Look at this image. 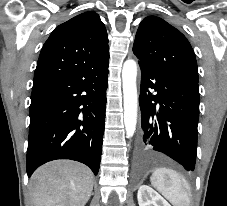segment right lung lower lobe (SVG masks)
Returning a JSON list of instances; mask_svg holds the SVG:
<instances>
[{
	"label": "right lung lower lobe",
	"mask_w": 227,
	"mask_h": 206,
	"mask_svg": "<svg viewBox=\"0 0 227 206\" xmlns=\"http://www.w3.org/2000/svg\"><path fill=\"white\" fill-rule=\"evenodd\" d=\"M108 62L34 83L27 174L55 159H71L97 175L105 126Z\"/></svg>",
	"instance_id": "obj_1"
}]
</instances>
